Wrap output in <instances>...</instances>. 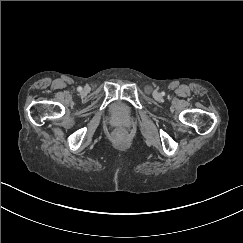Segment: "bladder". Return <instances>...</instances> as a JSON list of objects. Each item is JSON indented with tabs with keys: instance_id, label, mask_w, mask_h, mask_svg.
I'll return each mask as SVG.
<instances>
[{
	"instance_id": "bladder-1",
	"label": "bladder",
	"mask_w": 243,
	"mask_h": 243,
	"mask_svg": "<svg viewBox=\"0 0 243 243\" xmlns=\"http://www.w3.org/2000/svg\"><path fill=\"white\" fill-rule=\"evenodd\" d=\"M111 114L118 117H126L130 114L129 108L122 102H114L110 106Z\"/></svg>"
}]
</instances>
